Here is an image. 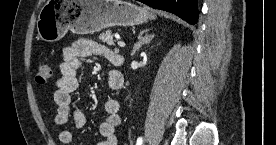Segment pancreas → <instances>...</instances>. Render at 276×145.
I'll return each mask as SVG.
<instances>
[{"mask_svg": "<svg viewBox=\"0 0 276 145\" xmlns=\"http://www.w3.org/2000/svg\"><path fill=\"white\" fill-rule=\"evenodd\" d=\"M113 33L111 30H106L105 32H103L102 34H100L99 39L103 42V43H107L110 46H114V40H113Z\"/></svg>", "mask_w": 276, "mask_h": 145, "instance_id": "obj_1", "label": "pancreas"}]
</instances>
